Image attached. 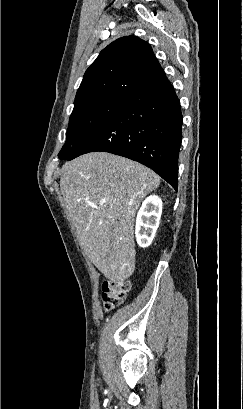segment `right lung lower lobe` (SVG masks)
<instances>
[{
  "instance_id": "98d812e1",
  "label": "right lung lower lobe",
  "mask_w": 243,
  "mask_h": 409,
  "mask_svg": "<svg viewBox=\"0 0 243 409\" xmlns=\"http://www.w3.org/2000/svg\"><path fill=\"white\" fill-rule=\"evenodd\" d=\"M182 120L178 97L163 77L127 97L66 160L89 152L113 153L150 167L177 190Z\"/></svg>"
}]
</instances>
